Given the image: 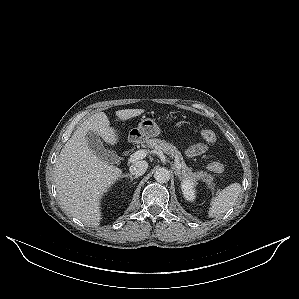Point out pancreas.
Wrapping results in <instances>:
<instances>
[{
  "instance_id": "cf45deb5",
  "label": "pancreas",
  "mask_w": 299,
  "mask_h": 299,
  "mask_svg": "<svg viewBox=\"0 0 299 299\" xmlns=\"http://www.w3.org/2000/svg\"><path fill=\"white\" fill-rule=\"evenodd\" d=\"M147 147L156 150L160 149L167 155L174 157L175 164L179 163L181 165L180 173L183 177H186L195 182L201 180L208 185V188L214 190V176L204 171L192 172V169L185 164L181 153L174 145L167 143L165 140L154 138L147 140Z\"/></svg>"
}]
</instances>
